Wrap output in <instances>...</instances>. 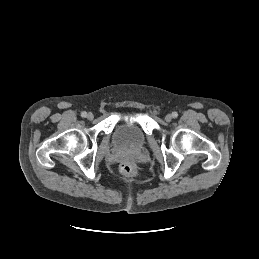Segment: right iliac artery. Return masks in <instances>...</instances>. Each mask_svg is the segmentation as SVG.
Here are the masks:
<instances>
[{
    "label": "right iliac artery",
    "mask_w": 259,
    "mask_h": 259,
    "mask_svg": "<svg viewBox=\"0 0 259 259\" xmlns=\"http://www.w3.org/2000/svg\"><path fill=\"white\" fill-rule=\"evenodd\" d=\"M81 116H82V117H86V116H87V113H86L85 111H83V112L81 113Z\"/></svg>",
    "instance_id": "obj_1"
}]
</instances>
